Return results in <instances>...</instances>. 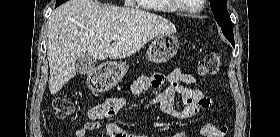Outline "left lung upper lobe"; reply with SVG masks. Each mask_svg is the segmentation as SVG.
<instances>
[{"label":"left lung upper lobe","mask_w":280,"mask_h":137,"mask_svg":"<svg viewBox=\"0 0 280 137\" xmlns=\"http://www.w3.org/2000/svg\"><path fill=\"white\" fill-rule=\"evenodd\" d=\"M227 0H210L211 10L225 37L235 46L232 22L227 10Z\"/></svg>","instance_id":"5c2ea615"}]
</instances>
